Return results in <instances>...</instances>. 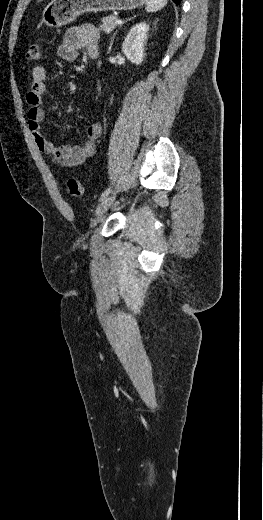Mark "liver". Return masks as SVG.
I'll use <instances>...</instances> for the list:
<instances>
[{"label": "liver", "instance_id": "obj_1", "mask_svg": "<svg viewBox=\"0 0 263 520\" xmlns=\"http://www.w3.org/2000/svg\"><path fill=\"white\" fill-rule=\"evenodd\" d=\"M41 1H43V0H37V2H41Z\"/></svg>", "mask_w": 263, "mask_h": 520}]
</instances>
